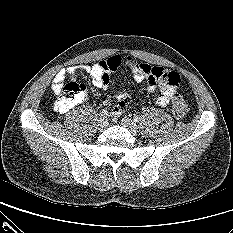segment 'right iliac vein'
<instances>
[{"mask_svg": "<svg viewBox=\"0 0 233 233\" xmlns=\"http://www.w3.org/2000/svg\"><path fill=\"white\" fill-rule=\"evenodd\" d=\"M108 126V122H107V120L104 118H100L99 119V121H98V125H97V127H98V129L99 130H103V129H105L106 127Z\"/></svg>", "mask_w": 233, "mask_h": 233, "instance_id": "obj_1", "label": "right iliac vein"}]
</instances>
